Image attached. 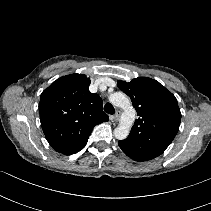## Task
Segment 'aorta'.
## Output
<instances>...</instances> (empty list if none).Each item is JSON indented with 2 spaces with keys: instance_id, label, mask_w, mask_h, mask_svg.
<instances>
[{
  "instance_id": "obj_1",
  "label": "aorta",
  "mask_w": 211,
  "mask_h": 211,
  "mask_svg": "<svg viewBox=\"0 0 211 211\" xmlns=\"http://www.w3.org/2000/svg\"><path fill=\"white\" fill-rule=\"evenodd\" d=\"M110 102L124 110L119 125L114 129V136L118 140L128 137L130 129L136 118V111L132 107L130 99L123 92H115L109 96Z\"/></svg>"
}]
</instances>
